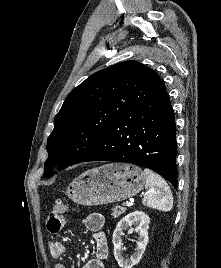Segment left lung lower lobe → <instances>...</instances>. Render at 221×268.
I'll use <instances>...</instances> for the list:
<instances>
[{
  "label": "left lung lower lobe",
  "mask_w": 221,
  "mask_h": 268,
  "mask_svg": "<svg viewBox=\"0 0 221 268\" xmlns=\"http://www.w3.org/2000/svg\"><path fill=\"white\" fill-rule=\"evenodd\" d=\"M176 155L175 116L164 89L118 117L82 162L143 165L177 188Z\"/></svg>",
  "instance_id": "1"
}]
</instances>
